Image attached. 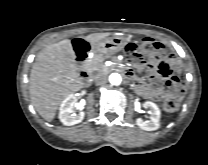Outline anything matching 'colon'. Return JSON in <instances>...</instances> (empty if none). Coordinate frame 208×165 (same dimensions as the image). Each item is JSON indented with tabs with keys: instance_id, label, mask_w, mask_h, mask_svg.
I'll return each mask as SVG.
<instances>
[{
	"instance_id": "colon-1",
	"label": "colon",
	"mask_w": 208,
	"mask_h": 165,
	"mask_svg": "<svg viewBox=\"0 0 208 165\" xmlns=\"http://www.w3.org/2000/svg\"><path fill=\"white\" fill-rule=\"evenodd\" d=\"M126 54L131 62L134 64H143L145 59L149 56L157 62L166 54L165 48L159 42L150 39H143L140 42H130L125 48ZM180 95H176L167 99L163 108L166 112H174L179 108Z\"/></svg>"
}]
</instances>
